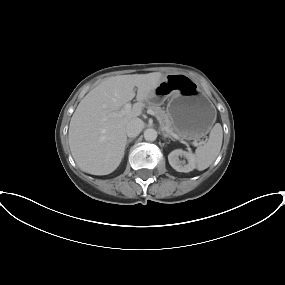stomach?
Segmentation results:
<instances>
[{
  "mask_svg": "<svg viewBox=\"0 0 285 285\" xmlns=\"http://www.w3.org/2000/svg\"><path fill=\"white\" fill-rule=\"evenodd\" d=\"M168 99L167 113L176 132L194 140L208 134L216 120V109L199 85L186 74H169L147 99L159 104Z\"/></svg>",
  "mask_w": 285,
  "mask_h": 285,
  "instance_id": "0dacf381",
  "label": "stomach"
}]
</instances>
